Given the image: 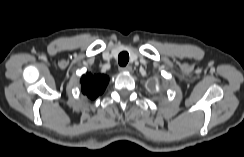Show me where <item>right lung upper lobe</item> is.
Returning <instances> with one entry per match:
<instances>
[{"instance_id": "obj_1", "label": "right lung upper lobe", "mask_w": 244, "mask_h": 157, "mask_svg": "<svg viewBox=\"0 0 244 157\" xmlns=\"http://www.w3.org/2000/svg\"><path fill=\"white\" fill-rule=\"evenodd\" d=\"M109 82V78L105 75H92L87 73L81 78V88L83 94L93 100L102 94Z\"/></svg>"}]
</instances>
